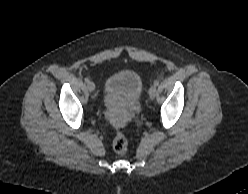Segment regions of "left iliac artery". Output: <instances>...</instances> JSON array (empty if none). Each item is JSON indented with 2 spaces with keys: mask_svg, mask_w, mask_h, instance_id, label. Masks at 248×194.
Returning a JSON list of instances; mask_svg holds the SVG:
<instances>
[{
  "mask_svg": "<svg viewBox=\"0 0 248 194\" xmlns=\"http://www.w3.org/2000/svg\"><path fill=\"white\" fill-rule=\"evenodd\" d=\"M154 85H155V86H158V85H159V81H155V82H154Z\"/></svg>",
  "mask_w": 248,
  "mask_h": 194,
  "instance_id": "44dca946",
  "label": "left iliac artery"
}]
</instances>
